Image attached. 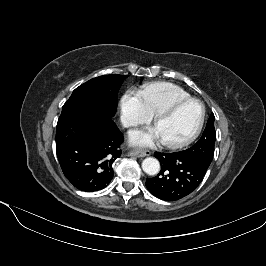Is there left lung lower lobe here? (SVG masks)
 <instances>
[{"label": "left lung lower lobe", "instance_id": "1", "mask_svg": "<svg viewBox=\"0 0 266 266\" xmlns=\"http://www.w3.org/2000/svg\"><path fill=\"white\" fill-rule=\"evenodd\" d=\"M154 155L161 163V171L157 176L147 178L146 187L162 200L176 201L192 193L202 182L208 169L185 157L181 151L155 152Z\"/></svg>", "mask_w": 266, "mask_h": 266}]
</instances>
